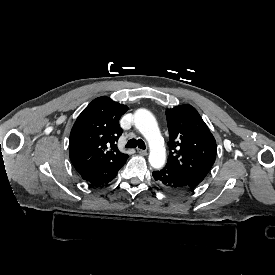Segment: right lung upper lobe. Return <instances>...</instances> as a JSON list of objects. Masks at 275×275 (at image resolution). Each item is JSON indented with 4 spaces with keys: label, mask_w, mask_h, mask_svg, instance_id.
I'll return each instance as SVG.
<instances>
[{
    "label": "right lung upper lobe",
    "mask_w": 275,
    "mask_h": 275,
    "mask_svg": "<svg viewBox=\"0 0 275 275\" xmlns=\"http://www.w3.org/2000/svg\"><path fill=\"white\" fill-rule=\"evenodd\" d=\"M128 107L109 97L94 99L78 116L70 133V159L79 172L104 163L122 164L129 157L117 148L121 116Z\"/></svg>",
    "instance_id": "cb5924a9"
}]
</instances>
